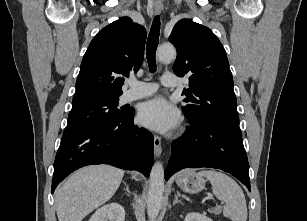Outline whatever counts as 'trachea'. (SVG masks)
Masks as SVG:
<instances>
[{
    "instance_id": "obj_1",
    "label": "trachea",
    "mask_w": 307,
    "mask_h": 221,
    "mask_svg": "<svg viewBox=\"0 0 307 221\" xmlns=\"http://www.w3.org/2000/svg\"><path fill=\"white\" fill-rule=\"evenodd\" d=\"M159 34L160 18L159 16H156L153 20L146 45V55L151 72L156 70L155 54L158 46Z\"/></svg>"
}]
</instances>
